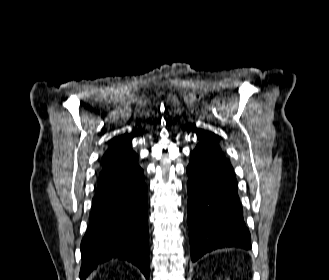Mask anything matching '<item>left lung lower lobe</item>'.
Instances as JSON below:
<instances>
[{
	"label": "left lung lower lobe",
	"mask_w": 329,
	"mask_h": 280,
	"mask_svg": "<svg viewBox=\"0 0 329 280\" xmlns=\"http://www.w3.org/2000/svg\"><path fill=\"white\" fill-rule=\"evenodd\" d=\"M188 174V218L191 258L216 249L251 248L242 216L233 168L221 149L204 150L192 159Z\"/></svg>",
	"instance_id": "obj_1"
}]
</instances>
